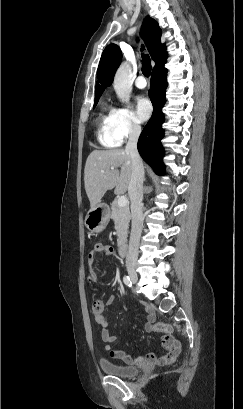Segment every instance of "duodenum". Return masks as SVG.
I'll return each instance as SVG.
<instances>
[{
	"label": "duodenum",
	"mask_w": 243,
	"mask_h": 409,
	"mask_svg": "<svg viewBox=\"0 0 243 409\" xmlns=\"http://www.w3.org/2000/svg\"><path fill=\"white\" fill-rule=\"evenodd\" d=\"M128 248L126 244H121L118 248V253L121 257H126Z\"/></svg>",
	"instance_id": "1"
}]
</instances>
